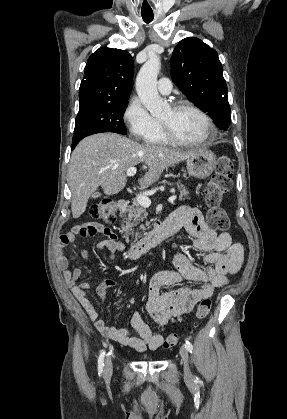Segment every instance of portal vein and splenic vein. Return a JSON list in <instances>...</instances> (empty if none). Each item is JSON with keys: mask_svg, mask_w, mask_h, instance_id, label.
Wrapping results in <instances>:
<instances>
[{"mask_svg": "<svg viewBox=\"0 0 287 419\" xmlns=\"http://www.w3.org/2000/svg\"><path fill=\"white\" fill-rule=\"evenodd\" d=\"M136 172H137V169L135 167H131L127 170L126 174L128 177H132L136 174ZM176 198H177L176 195H172L168 198V201L173 202ZM136 200L144 208H148L151 205V200L149 199L148 196L144 194L137 195Z\"/></svg>", "mask_w": 287, "mask_h": 419, "instance_id": "18ae733b", "label": "portal vein and splenic vein"}]
</instances>
